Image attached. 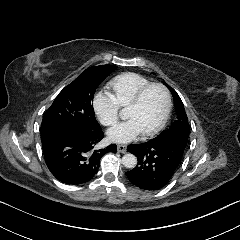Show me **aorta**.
I'll return each instance as SVG.
<instances>
[{
  "label": "aorta",
  "mask_w": 240,
  "mask_h": 240,
  "mask_svg": "<svg viewBox=\"0 0 240 240\" xmlns=\"http://www.w3.org/2000/svg\"><path fill=\"white\" fill-rule=\"evenodd\" d=\"M122 164L126 167V168H134L137 165V158L135 155L133 154H125L122 157Z\"/></svg>",
  "instance_id": "762f6f07"
}]
</instances>
